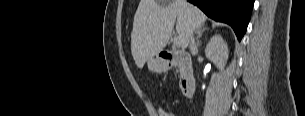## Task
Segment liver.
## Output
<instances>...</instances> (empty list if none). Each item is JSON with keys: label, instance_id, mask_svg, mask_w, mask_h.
<instances>
[{"label": "liver", "instance_id": "obj_1", "mask_svg": "<svg viewBox=\"0 0 305 116\" xmlns=\"http://www.w3.org/2000/svg\"><path fill=\"white\" fill-rule=\"evenodd\" d=\"M206 15L186 0H141L134 16L131 52L135 64L142 69L145 62L158 55L167 45L175 22L185 49L190 34L202 27Z\"/></svg>", "mask_w": 305, "mask_h": 116}]
</instances>
